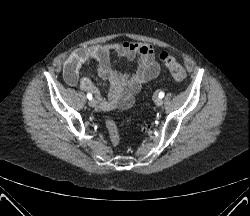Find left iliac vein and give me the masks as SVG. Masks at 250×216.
Returning <instances> with one entry per match:
<instances>
[{"label": "left iliac vein", "mask_w": 250, "mask_h": 216, "mask_svg": "<svg viewBox=\"0 0 250 216\" xmlns=\"http://www.w3.org/2000/svg\"><path fill=\"white\" fill-rule=\"evenodd\" d=\"M155 104H156L157 106H162V104H163L162 98L157 97V98L155 99Z\"/></svg>", "instance_id": "1"}]
</instances>
